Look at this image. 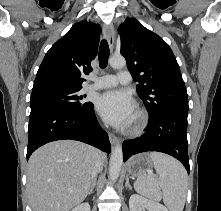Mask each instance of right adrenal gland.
Instances as JSON below:
<instances>
[{
    "label": "right adrenal gland",
    "instance_id": "2a0ac1e0",
    "mask_svg": "<svg viewBox=\"0 0 221 211\" xmlns=\"http://www.w3.org/2000/svg\"><path fill=\"white\" fill-rule=\"evenodd\" d=\"M95 186H96V180L93 181L92 186H91V188H90V190L88 192V195L93 193V190H94Z\"/></svg>",
    "mask_w": 221,
    "mask_h": 211
}]
</instances>
